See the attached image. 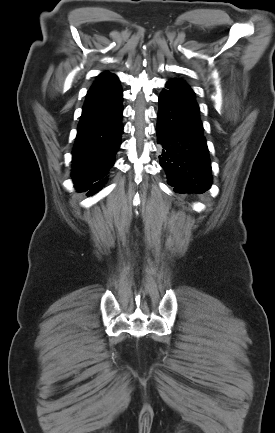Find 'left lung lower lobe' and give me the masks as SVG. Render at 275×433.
Instances as JSON below:
<instances>
[{"label": "left lung lower lobe", "instance_id": "obj_1", "mask_svg": "<svg viewBox=\"0 0 275 433\" xmlns=\"http://www.w3.org/2000/svg\"><path fill=\"white\" fill-rule=\"evenodd\" d=\"M165 87L156 127L160 165L176 193H204L212 184L211 162L194 92L181 80Z\"/></svg>", "mask_w": 275, "mask_h": 433}]
</instances>
